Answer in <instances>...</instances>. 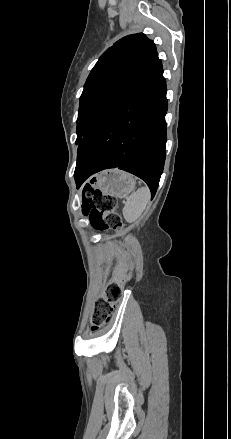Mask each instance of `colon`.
I'll return each mask as SVG.
<instances>
[{"mask_svg": "<svg viewBox=\"0 0 231 439\" xmlns=\"http://www.w3.org/2000/svg\"><path fill=\"white\" fill-rule=\"evenodd\" d=\"M117 199L112 195L102 194L90 188H83L82 211L89 215L93 228L97 230L117 229L121 218L116 213ZM122 296V286L118 282L106 285L104 294L95 302L92 324L95 329L108 322L114 304Z\"/></svg>", "mask_w": 231, "mask_h": 439, "instance_id": "1", "label": "colon"}]
</instances>
